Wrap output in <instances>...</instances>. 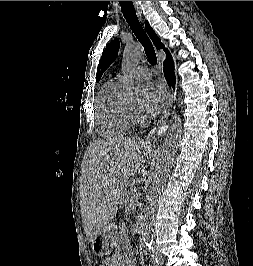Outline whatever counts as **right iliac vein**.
I'll return each instance as SVG.
<instances>
[{
	"label": "right iliac vein",
	"mask_w": 253,
	"mask_h": 266,
	"mask_svg": "<svg viewBox=\"0 0 253 266\" xmlns=\"http://www.w3.org/2000/svg\"><path fill=\"white\" fill-rule=\"evenodd\" d=\"M158 261H159L160 264H163V260H162V258L159 257V258H158Z\"/></svg>",
	"instance_id": "obj_1"
}]
</instances>
